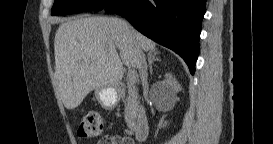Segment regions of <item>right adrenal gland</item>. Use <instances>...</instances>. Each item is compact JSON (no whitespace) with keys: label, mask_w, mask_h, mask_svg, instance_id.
Wrapping results in <instances>:
<instances>
[{"label":"right adrenal gland","mask_w":273,"mask_h":144,"mask_svg":"<svg viewBox=\"0 0 273 144\" xmlns=\"http://www.w3.org/2000/svg\"><path fill=\"white\" fill-rule=\"evenodd\" d=\"M158 55H159V52H158L157 49L149 51V53L147 55L148 64H149V70H150V75H152V73H153L152 64L155 61H160V58L158 57Z\"/></svg>","instance_id":"1"}]
</instances>
